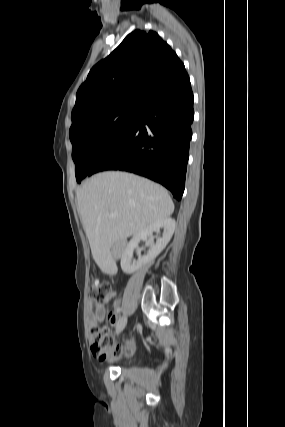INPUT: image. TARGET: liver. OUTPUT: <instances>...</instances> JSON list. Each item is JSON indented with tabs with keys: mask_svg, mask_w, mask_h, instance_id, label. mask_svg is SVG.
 Masks as SVG:
<instances>
[{
	"mask_svg": "<svg viewBox=\"0 0 285 427\" xmlns=\"http://www.w3.org/2000/svg\"><path fill=\"white\" fill-rule=\"evenodd\" d=\"M77 209L99 266L113 264L111 249L121 240L171 216L174 204L160 185L134 174L107 171L76 190ZM117 212V216L110 214Z\"/></svg>",
	"mask_w": 285,
	"mask_h": 427,
	"instance_id": "6515ba94",
	"label": "liver"
}]
</instances>
